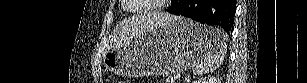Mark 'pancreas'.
Returning <instances> with one entry per match:
<instances>
[{"label": "pancreas", "mask_w": 307, "mask_h": 83, "mask_svg": "<svg viewBox=\"0 0 307 83\" xmlns=\"http://www.w3.org/2000/svg\"><path fill=\"white\" fill-rule=\"evenodd\" d=\"M175 81H176V79H174V76H168V78H167V80H166V82L167 83H175Z\"/></svg>", "instance_id": "1"}]
</instances>
